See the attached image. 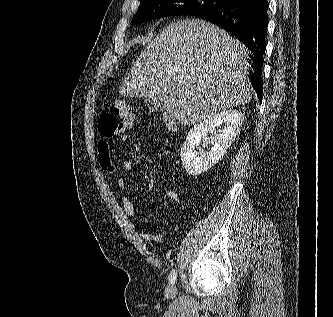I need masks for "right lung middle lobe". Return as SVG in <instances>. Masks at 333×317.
<instances>
[{"instance_id": "right-lung-middle-lobe-1", "label": "right lung middle lobe", "mask_w": 333, "mask_h": 317, "mask_svg": "<svg viewBox=\"0 0 333 317\" xmlns=\"http://www.w3.org/2000/svg\"><path fill=\"white\" fill-rule=\"evenodd\" d=\"M222 0H142L133 24L171 15H196L220 7Z\"/></svg>"}]
</instances>
